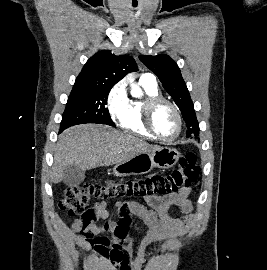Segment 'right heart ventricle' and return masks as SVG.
I'll list each match as a JSON object with an SVG mask.
<instances>
[{"label":"right heart ventricle","instance_id":"right-heart-ventricle-1","mask_svg":"<svg viewBox=\"0 0 267 270\" xmlns=\"http://www.w3.org/2000/svg\"><path fill=\"white\" fill-rule=\"evenodd\" d=\"M139 84L145 92V97L143 99L129 100L125 114L119 120V125L124 130L139 137L153 139V136L143 124V106L148 98L160 96V91L156 83L140 80Z\"/></svg>","mask_w":267,"mask_h":270}]
</instances>
